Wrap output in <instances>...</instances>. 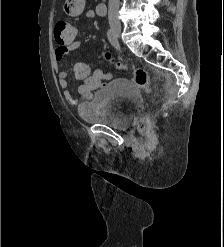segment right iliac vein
Wrapping results in <instances>:
<instances>
[{
    "label": "right iliac vein",
    "instance_id": "63e3f726",
    "mask_svg": "<svg viewBox=\"0 0 224 247\" xmlns=\"http://www.w3.org/2000/svg\"><path fill=\"white\" fill-rule=\"evenodd\" d=\"M111 29L116 34V36H120L121 26L119 24H111Z\"/></svg>",
    "mask_w": 224,
    "mask_h": 247
}]
</instances>
